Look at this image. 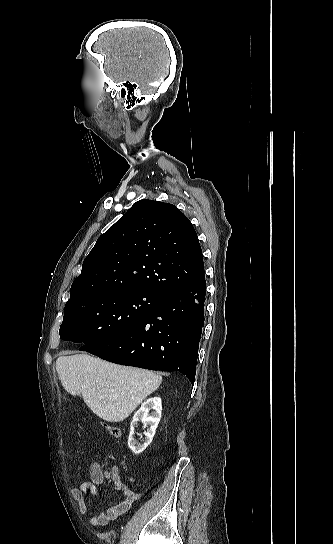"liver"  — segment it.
<instances>
[{
    "instance_id": "1",
    "label": "liver",
    "mask_w": 333,
    "mask_h": 544,
    "mask_svg": "<svg viewBox=\"0 0 333 544\" xmlns=\"http://www.w3.org/2000/svg\"><path fill=\"white\" fill-rule=\"evenodd\" d=\"M56 370L64 389L107 422L125 420L161 384L149 370L113 364L88 354L60 356Z\"/></svg>"
}]
</instances>
